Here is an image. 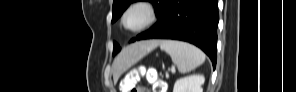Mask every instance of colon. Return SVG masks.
<instances>
[{"mask_svg":"<svg viewBox=\"0 0 296 92\" xmlns=\"http://www.w3.org/2000/svg\"><path fill=\"white\" fill-rule=\"evenodd\" d=\"M146 76L148 81L154 86V92H163V82L159 79L154 70H146L141 68H134L126 73L120 82V88L123 92H149V90L142 86H137L136 81L141 77Z\"/></svg>","mask_w":296,"mask_h":92,"instance_id":"1","label":"colon"}]
</instances>
